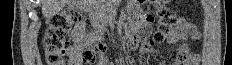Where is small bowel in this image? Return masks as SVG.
<instances>
[{
    "mask_svg": "<svg viewBox=\"0 0 232 65\" xmlns=\"http://www.w3.org/2000/svg\"><path fill=\"white\" fill-rule=\"evenodd\" d=\"M132 17H143L144 23L142 26H135L133 38H130V42H125V47L135 48L138 46L137 38H146L150 33L152 15L150 12H132ZM200 33L197 28L187 22L185 19H179L175 27L174 32L169 36L168 42L170 44H183L188 39L199 40ZM72 38L74 44L67 48V55L69 57L68 65H82L80 58V52L84 48L90 46L95 38L92 34L86 32L85 25L83 23L77 24L72 31ZM117 40H124V35H117ZM200 57L198 54L190 53L188 48L182 46L177 54L174 65H198ZM99 65H108V60L105 55H101ZM163 65V64H160Z\"/></svg>",
    "mask_w": 232,
    "mask_h": 65,
    "instance_id": "small-bowel-1",
    "label": "small bowel"
}]
</instances>
